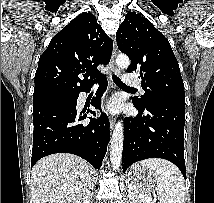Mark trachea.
Listing matches in <instances>:
<instances>
[{
  "mask_svg": "<svg viewBox=\"0 0 214 203\" xmlns=\"http://www.w3.org/2000/svg\"><path fill=\"white\" fill-rule=\"evenodd\" d=\"M112 79L114 81V83L119 86V87H123V88H127V89H131V90H135L134 88H130L128 86H126L120 79L119 77H117L116 75L113 74Z\"/></svg>",
  "mask_w": 214,
  "mask_h": 203,
  "instance_id": "obj_1",
  "label": "trachea"
}]
</instances>
